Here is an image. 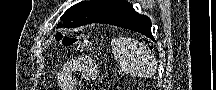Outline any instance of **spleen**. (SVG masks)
<instances>
[{
	"mask_svg": "<svg viewBox=\"0 0 216 90\" xmlns=\"http://www.w3.org/2000/svg\"><path fill=\"white\" fill-rule=\"evenodd\" d=\"M112 50L117 58H120L122 66L128 70L130 74H139V76H147L148 70L154 62L151 50H148L145 44L132 40V38H120L113 40Z\"/></svg>",
	"mask_w": 216,
	"mask_h": 90,
	"instance_id": "1",
	"label": "spleen"
}]
</instances>
